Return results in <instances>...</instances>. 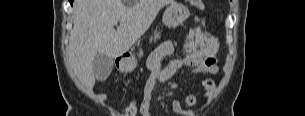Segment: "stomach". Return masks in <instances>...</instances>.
<instances>
[{
  "instance_id": "0dacf381",
  "label": "stomach",
  "mask_w": 305,
  "mask_h": 116,
  "mask_svg": "<svg viewBox=\"0 0 305 116\" xmlns=\"http://www.w3.org/2000/svg\"><path fill=\"white\" fill-rule=\"evenodd\" d=\"M189 15L190 13L186 6L174 2L166 8L162 21L167 27L175 28L181 25ZM142 56L143 50L140 49L137 57L140 59ZM138 59L135 56L123 58L119 63V70L122 72H132L137 66Z\"/></svg>"
}]
</instances>
